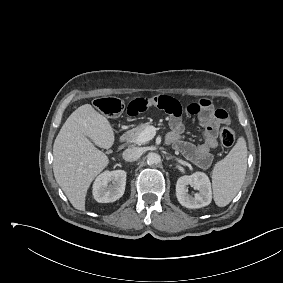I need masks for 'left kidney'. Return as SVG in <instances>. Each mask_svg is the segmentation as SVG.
I'll return each instance as SVG.
<instances>
[{
  "label": "left kidney",
  "instance_id": "left-kidney-1",
  "mask_svg": "<svg viewBox=\"0 0 283 283\" xmlns=\"http://www.w3.org/2000/svg\"><path fill=\"white\" fill-rule=\"evenodd\" d=\"M188 185L199 192L194 196H190L188 194ZM176 196L179 203L189 209L209 205L212 200V191L208 176L203 172H195L189 176H181L176 183Z\"/></svg>",
  "mask_w": 283,
  "mask_h": 283
}]
</instances>
